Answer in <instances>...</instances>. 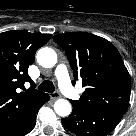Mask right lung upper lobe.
I'll use <instances>...</instances> for the list:
<instances>
[{"instance_id":"right-lung-upper-lobe-1","label":"right lung upper lobe","mask_w":136,"mask_h":136,"mask_svg":"<svg viewBox=\"0 0 136 136\" xmlns=\"http://www.w3.org/2000/svg\"><path fill=\"white\" fill-rule=\"evenodd\" d=\"M51 38L50 34H36L23 30L0 33V136L22 127L37 102L46 94L25 89V82L33 81L28 66L34 62L37 49Z\"/></svg>"}]
</instances>
